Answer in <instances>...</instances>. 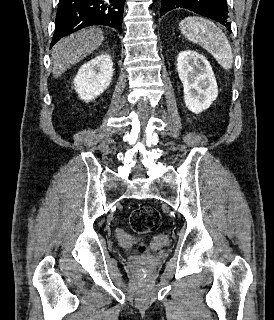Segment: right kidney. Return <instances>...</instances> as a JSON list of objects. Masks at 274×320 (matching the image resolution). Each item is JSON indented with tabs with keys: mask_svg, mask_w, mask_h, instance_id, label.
<instances>
[{
	"mask_svg": "<svg viewBox=\"0 0 274 320\" xmlns=\"http://www.w3.org/2000/svg\"><path fill=\"white\" fill-rule=\"evenodd\" d=\"M113 76V62L108 54H99L94 60L86 62L77 72L73 82L74 90L80 100L91 102L101 96L111 84Z\"/></svg>",
	"mask_w": 274,
	"mask_h": 320,
	"instance_id": "right-kidney-1",
	"label": "right kidney"
}]
</instances>
